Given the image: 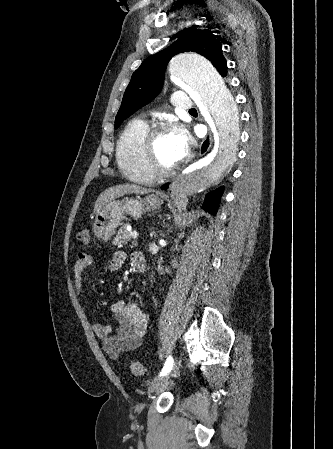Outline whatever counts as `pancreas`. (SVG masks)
Instances as JSON below:
<instances>
[{"instance_id":"1","label":"pancreas","mask_w":333,"mask_h":449,"mask_svg":"<svg viewBox=\"0 0 333 449\" xmlns=\"http://www.w3.org/2000/svg\"><path fill=\"white\" fill-rule=\"evenodd\" d=\"M131 240V232L127 230V225H124L120 228L119 232L116 235V238L113 241L114 245L124 246Z\"/></svg>"}]
</instances>
